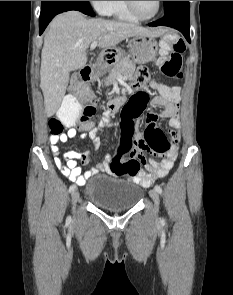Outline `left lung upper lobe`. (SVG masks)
Instances as JSON below:
<instances>
[{"label":"left lung upper lobe","mask_w":233,"mask_h":295,"mask_svg":"<svg viewBox=\"0 0 233 295\" xmlns=\"http://www.w3.org/2000/svg\"><path fill=\"white\" fill-rule=\"evenodd\" d=\"M165 14L175 9L177 6L188 4L189 1H163Z\"/></svg>","instance_id":"obj_1"}]
</instances>
